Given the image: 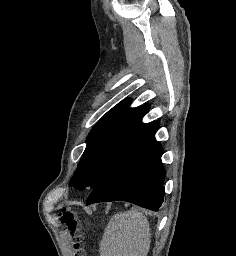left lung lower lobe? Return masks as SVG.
Instances as JSON below:
<instances>
[{"instance_id": "0a47b994", "label": "left lung lower lobe", "mask_w": 236, "mask_h": 256, "mask_svg": "<svg viewBox=\"0 0 236 256\" xmlns=\"http://www.w3.org/2000/svg\"><path fill=\"white\" fill-rule=\"evenodd\" d=\"M159 122L144 124L130 140L109 174L93 189L86 204L116 200L158 210L164 200L162 147L155 139Z\"/></svg>"}]
</instances>
